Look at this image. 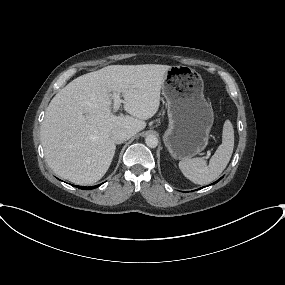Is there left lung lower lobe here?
<instances>
[{"instance_id":"left-lung-lower-lobe-1","label":"left lung lower lobe","mask_w":285,"mask_h":285,"mask_svg":"<svg viewBox=\"0 0 285 285\" xmlns=\"http://www.w3.org/2000/svg\"><path fill=\"white\" fill-rule=\"evenodd\" d=\"M220 180V179H219ZM219 180H217L216 182H214L213 184L217 183Z\"/></svg>"}]
</instances>
